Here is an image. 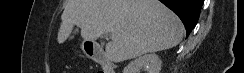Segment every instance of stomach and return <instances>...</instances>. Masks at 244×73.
<instances>
[{"instance_id": "0dacf381", "label": "stomach", "mask_w": 244, "mask_h": 73, "mask_svg": "<svg viewBox=\"0 0 244 73\" xmlns=\"http://www.w3.org/2000/svg\"><path fill=\"white\" fill-rule=\"evenodd\" d=\"M82 50L86 53V46H85V43L82 44Z\"/></svg>"}]
</instances>
